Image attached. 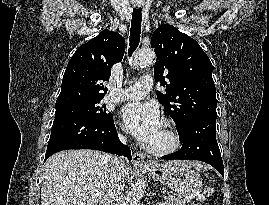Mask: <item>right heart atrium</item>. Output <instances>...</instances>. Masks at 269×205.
I'll return each instance as SVG.
<instances>
[{
  "label": "right heart atrium",
  "instance_id": "obj_1",
  "mask_svg": "<svg viewBox=\"0 0 269 205\" xmlns=\"http://www.w3.org/2000/svg\"><path fill=\"white\" fill-rule=\"evenodd\" d=\"M119 138H120L121 140H124V139H125V136H124L123 134L119 133Z\"/></svg>",
  "mask_w": 269,
  "mask_h": 205
}]
</instances>
